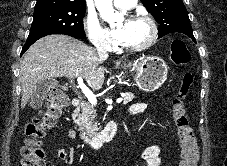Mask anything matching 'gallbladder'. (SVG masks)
Segmentation results:
<instances>
[{"instance_id":"gallbladder-1","label":"gallbladder","mask_w":227,"mask_h":166,"mask_svg":"<svg viewBox=\"0 0 227 166\" xmlns=\"http://www.w3.org/2000/svg\"><path fill=\"white\" fill-rule=\"evenodd\" d=\"M56 85H58L57 81L53 78L39 80L31 97L30 105L35 106L36 103L39 105L42 104L50 89Z\"/></svg>"}]
</instances>
